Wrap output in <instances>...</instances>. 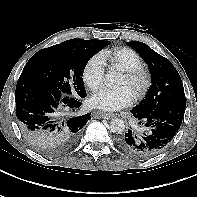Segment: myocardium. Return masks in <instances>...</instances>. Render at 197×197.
<instances>
[{"label":"myocardium","instance_id":"1","mask_svg":"<svg viewBox=\"0 0 197 197\" xmlns=\"http://www.w3.org/2000/svg\"><path fill=\"white\" fill-rule=\"evenodd\" d=\"M124 76L126 77L128 83L134 88V96L136 98L143 97L150 85L151 76L150 72L144 66H140L134 69L124 71Z\"/></svg>","mask_w":197,"mask_h":197}]
</instances>
